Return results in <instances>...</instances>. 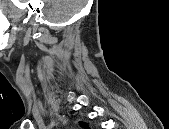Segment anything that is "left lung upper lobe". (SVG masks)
<instances>
[{
	"instance_id": "left-lung-upper-lobe-1",
	"label": "left lung upper lobe",
	"mask_w": 169,
	"mask_h": 129,
	"mask_svg": "<svg viewBox=\"0 0 169 129\" xmlns=\"http://www.w3.org/2000/svg\"><path fill=\"white\" fill-rule=\"evenodd\" d=\"M80 125H81L83 128H85V129H89V127L87 126V124L84 123V122H80Z\"/></svg>"
}]
</instances>
